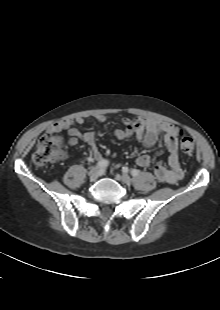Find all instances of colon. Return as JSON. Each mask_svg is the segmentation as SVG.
I'll use <instances>...</instances> for the list:
<instances>
[{
	"mask_svg": "<svg viewBox=\"0 0 220 310\" xmlns=\"http://www.w3.org/2000/svg\"><path fill=\"white\" fill-rule=\"evenodd\" d=\"M180 149L184 154L191 155L195 150L193 140L180 133ZM63 152V139L59 132L49 131L39 139L32 160L36 165L45 166L55 162Z\"/></svg>",
	"mask_w": 220,
	"mask_h": 310,
	"instance_id": "5ec220e1",
	"label": "colon"
}]
</instances>
